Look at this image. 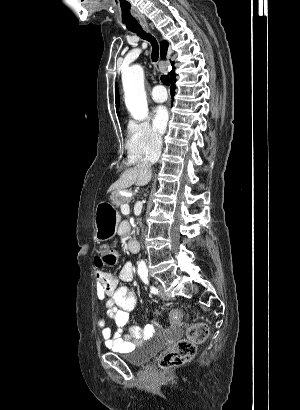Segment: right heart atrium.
Masks as SVG:
<instances>
[{
    "instance_id": "d8ad5b80",
    "label": "right heart atrium",
    "mask_w": 300,
    "mask_h": 410,
    "mask_svg": "<svg viewBox=\"0 0 300 410\" xmlns=\"http://www.w3.org/2000/svg\"><path fill=\"white\" fill-rule=\"evenodd\" d=\"M128 157L137 161L157 152L162 145L161 134L147 120H131L127 128Z\"/></svg>"
}]
</instances>
